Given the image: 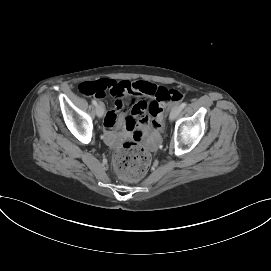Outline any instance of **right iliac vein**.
<instances>
[{"label": "right iliac vein", "mask_w": 271, "mask_h": 271, "mask_svg": "<svg viewBox=\"0 0 271 271\" xmlns=\"http://www.w3.org/2000/svg\"><path fill=\"white\" fill-rule=\"evenodd\" d=\"M104 111H105V108H104V105L102 103H99L97 106H96V114L99 118L103 117L104 115Z\"/></svg>", "instance_id": "1"}]
</instances>
